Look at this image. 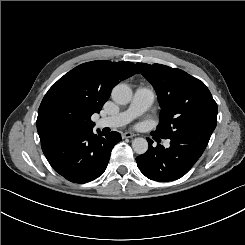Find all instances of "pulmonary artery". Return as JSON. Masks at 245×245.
Listing matches in <instances>:
<instances>
[{
	"instance_id": "pulmonary-artery-1",
	"label": "pulmonary artery",
	"mask_w": 245,
	"mask_h": 245,
	"mask_svg": "<svg viewBox=\"0 0 245 245\" xmlns=\"http://www.w3.org/2000/svg\"><path fill=\"white\" fill-rule=\"evenodd\" d=\"M155 95L151 88L138 86L133 94L128 108L124 111L97 120L96 128L123 126L134 118L144 114L152 106ZM168 142H166V145Z\"/></svg>"
}]
</instances>
